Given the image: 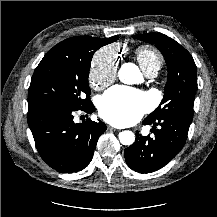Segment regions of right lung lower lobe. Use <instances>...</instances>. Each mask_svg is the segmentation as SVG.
<instances>
[{"label": "right lung lower lobe", "mask_w": 217, "mask_h": 217, "mask_svg": "<svg viewBox=\"0 0 217 217\" xmlns=\"http://www.w3.org/2000/svg\"><path fill=\"white\" fill-rule=\"evenodd\" d=\"M91 114L92 103L78 109ZM77 109L44 107L28 111V125L42 159L61 173L78 172L93 157L98 138L106 130L101 122L87 119L83 124L73 122Z\"/></svg>", "instance_id": "1"}]
</instances>
